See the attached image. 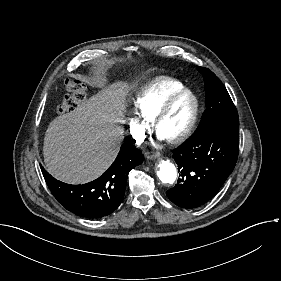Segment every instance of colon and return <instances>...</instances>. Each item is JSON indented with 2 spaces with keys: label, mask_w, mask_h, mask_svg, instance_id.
<instances>
[{
  "label": "colon",
  "mask_w": 281,
  "mask_h": 281,
  "mask_svg": "<svg viewBox=\"0 0 281 281\" xmlns=\"http://www.w3.org/2000/svg\"><path fill=\"white\" fill-rule=\"evenodd\" d=\"M65 92V97L59 104V110L62 114H69L85 101V86L82 82L69 78L65 82Z\"/></svg>",
  "instance_id": "5ec220e1"
}]
</instances>
